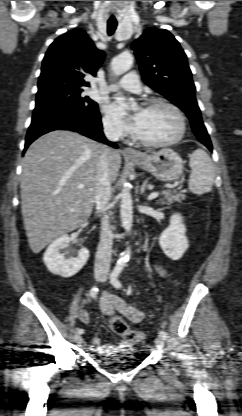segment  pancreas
I'll use <instances>...</instances> for the list:
<instances>
[{"label": "pancreas", "mask_w": 242, "mask_h": 416, "mask_svg": "<svg viewBox=\"0 0 242 416\" xmlns=\"http://www.w3.org/2000/svg\"><path fill=\"white\" fill-rule=\"evenodd\" d=\"M164 195H165V197H164L165 202L163 201L162 203H165L167 205H170L173 202L181 203L182 200L185 199V195H183V194H175V193L173 194L170 191H165L164 192Z\"/></svg>", "instance_id": "pancreas-1"}]
</instances>
